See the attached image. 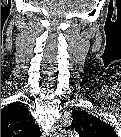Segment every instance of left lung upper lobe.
Segmentation results:
<instances>
[{"instance_id":"1","label":"left lung upper lobe","mask_w":121,"mask_h":137,"mask_svg":"<svg viewBox=\"0 0 121 137\" xmlns=\"http://www.w3.org/2000/svg\"><path fill=\"white\" fill-rule=\"evenodd\" d=\"M74 120L68 128L74 129L79 134H89L95 137H114V129L86 111H74Z\"/></svg>"}]
</instances>
